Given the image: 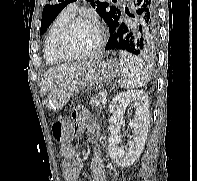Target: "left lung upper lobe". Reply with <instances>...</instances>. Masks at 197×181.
<instances>
[{"label":"left lung upper lobe","instance_id":"left-lung-upper-lobe-1","mask_svg":"<svg viewBox=\"0 0 197 181\" xmlns=\"http://www.w3.org/2000/svg\"><path fill=\"white\" fill-rule=\"evenodd\" d=\"M52 1L51 5H46L42 12V22L40 34H43L49 25L54 21L56 16L62 11V9L67 6L69 3L76 0H49ZM91 2V6L96 8V12L101 16L106 24L108 25L115 19H118L121 15L120 10L114 6H109L108 3H101L98 1L87 0Z\"/></svg>","mask_w":197,"mask_h":181}]
</instances>
